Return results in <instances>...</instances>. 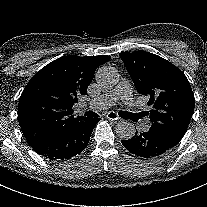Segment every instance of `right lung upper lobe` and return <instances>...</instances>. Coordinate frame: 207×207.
<instances>
[{"mask_svg": "<svg viewBox=\"0 0 207 207\" xmlns=\"http://www.w3.org/2000/svg\"><path fill=\"white\" fill-rule=\"evenodd\" d=\"M110 58L107 55L61 57L29 81L19 99L18 121L31 147L53 137L74 120V103L87 94L96 68Z\"/></svg>", "mask_w": 207, "mask_h": 207, "instance_id": "right-lung-upper-lobe-1", "label": "right lung upper lobe"}]
</instances>
